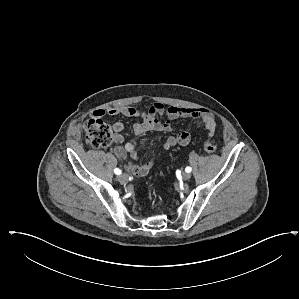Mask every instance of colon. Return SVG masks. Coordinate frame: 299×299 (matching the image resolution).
Masks as SVG:
<instances>
[{"mask_svg":"<svg viewBox=\"0 0 299 299\" xmlns=\"http://www.w3.org/2000/svg\"><path fill=\"white\" fill-rule=\"evenodd\" d=\"M84 132L87 142L95 148H107L114 141L112 127L99 118L88 120L84 125ZM204 149L209 153H214L217 147L212 140L206 139Z\"/></svg>","mask_w":299,"mask_h":299,"instance_id":"colon-1","label":"colon"}]
</instances>
